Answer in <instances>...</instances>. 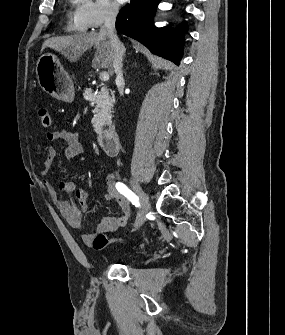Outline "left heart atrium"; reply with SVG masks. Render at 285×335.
Here are the masks:
<instances>
[{
  "label": "left heart atrium",
  "mask_w": 285,
  "mask_h": 335,
  "mask_svg": "<svg viewBox=\"0 0 285 335\" xmlns=\"http://www.w3.org/2000/svg\"><path fill=\"white\" fill-rule=\"evenodd\" d=\"M119 2H121V3H125L126 1H119Z\"/></svg>",
  "instance_id": "obj_1"
}]
</instances>
